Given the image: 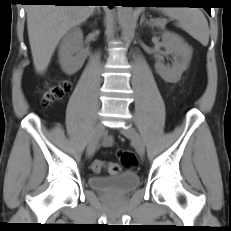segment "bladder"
Returning <instances> with one entry per match:
<instances>
[{"mask_svg": "<svg viewBox=\"0 0 231 231\" xmlns=\"http://www.w3.org/2000/svg\"><path fill=\"white\" fill-rule=\"evenodd\" d=\"M139 181V176L129 171L110 177L91 176L88 178V185L102 194L124 196L135 190Z\"/></svg>", "mask_w": 231, "mask_h": 231, "instance_id": "obj_1", "label": "bladder"}]
</instances>
